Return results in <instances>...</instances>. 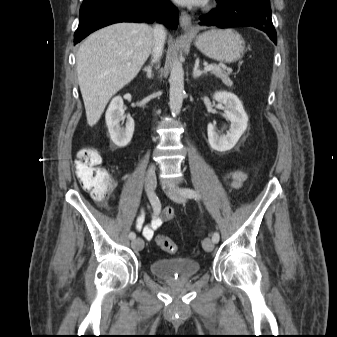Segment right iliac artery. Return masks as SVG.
<instances>
[{"label": "right iliac artery", "mask_w": 337, "mask_h": 337, "mask_svg": "<svg viewBox=\"0 0 337 337\" xmlns=\"http://www.w3.org/2000/svg\"><path fill=\"white\" fill-rule=\"evenodd\" d=\"M149 200H150V203L154 211L159 212L161 209V203H160L159 198L155 194L152 193V194H149ZM135 237H136V234L134 232L129 233V238L131 240L135 239Z\"/></svg>", "instance_id": "obj_1"}]
</instances>
